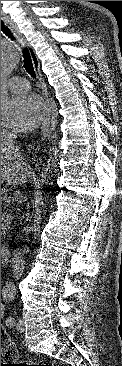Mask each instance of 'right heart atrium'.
Returning <instances> with one entry per match:
<instances>
[{
    "instance_id": "1",
    "label": "right heart atrium",
    "mask_w": 122,
    "mask_h": 366,
    "mask_svg": "<svg viewBox=\"0 0 122 366\" xmlns=\"http://www.w3.org/2000/svg\"><path fill=\"white\" fill-rule=\"evenodd\" d=\"M6 132V130L1 126V136L2 134H4Z\"/></svg>"
}]
</instances>
